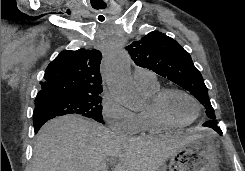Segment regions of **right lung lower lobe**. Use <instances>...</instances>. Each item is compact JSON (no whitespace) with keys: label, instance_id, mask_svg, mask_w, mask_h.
Returning a JSON list of instances; mask_svg holds the SVG:
<instances>
[{"label":"right lung lower lobe","instance_id":"1","mask_svg":"<svg viewBox=\"0 0 245 171\" xmlns=\"http://www.w3.org/2000/svg\"><path fill=\"white\" fill-rule=\"evenodd\" d=\"M56 117L54 114L49 112L47 109L43 107H35L33 113V123H34V131L37 133L41 126L47 122L49 119Z\"/></svg>","mask_w":245,"mask_h":171}]
</instances>
